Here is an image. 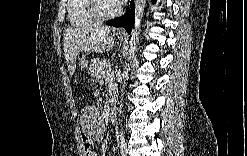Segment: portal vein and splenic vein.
Instances as JSON below:
<instances>
[{"label": "portal vein and splenic vein", "mask_w": 247, "mask_h": 156, "mask_svg": "<svg viewBox=\"0 0 247 156\" xmlns=\"http://www.w3.org/2000/svg\"><path fill=\"white\" fill-rule=\"evenodd\" d=\"M109 74H110V72H108L107 77H108Z\"/></svg>", "instance_id": "18ae733b"}]
</instances>
